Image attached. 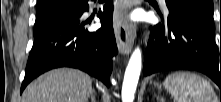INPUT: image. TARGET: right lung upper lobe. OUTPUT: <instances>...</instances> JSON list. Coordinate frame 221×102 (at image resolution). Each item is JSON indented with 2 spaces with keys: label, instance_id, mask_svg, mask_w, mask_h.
<instances>
[{
  "label": "right lung upper lobe",
  "instance_id": "right-lung-upper-lobe-1",
  "mask_svg": "<svg viewBox=\"0 0 221 102\" xmlns=\"http://www.w3.org/2000/svg\"><path fill=\"white\" fill-rule=\"evenodd\" d=\"M53 0H38L37 8L49 5Z\"/></svg>",
  "mask_w": 221,
  "mask_h": 102
}]
</instances>
